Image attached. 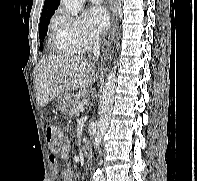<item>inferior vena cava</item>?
<instances>
[{
  "label": "inferior vena cava",
  "mask_w": 197,
  "mask_h": 181,
  "mask_svg": "<svg viewBox=\"0 0 197 181\" xmlns=\"http://www.w3.org/2000/svg\"><path fill=\"white\" fill-rule=\"evenodd\" d=\"M100 37L98 35H95L93 37V57L95 59H98L100 55Z\"/></svg>",
  "instance_id": "602c4592"
}]
</instances>
